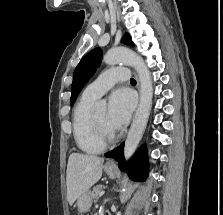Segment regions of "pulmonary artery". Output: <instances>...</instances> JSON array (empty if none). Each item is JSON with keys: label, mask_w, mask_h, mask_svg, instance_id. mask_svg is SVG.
I'll return each mask as SVG.
<instances>
[{"label": "pulmonary artery", "mask_w": 223, "mask_h": 215, "mask_svg": "<svg viewBox=\"0 0 223 215\" xmlns=\"http://www.w3.org/2000/svg\"><path fill=\"white\" fill-rule=\"evenodd\" d=\"M131 69H125L124 65H119L118 69H106V73L100 75L96 80L89 84L84 95L91 98H98L114 86L117 82H122L129 78Z\"/></svg>", "instance_id": "obj_1"}]
</instances>
